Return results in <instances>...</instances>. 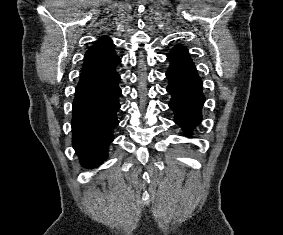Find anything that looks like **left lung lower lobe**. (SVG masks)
Instances as JSON below:
<instances>
[{
  "mask_svg": "<svg viewBox=\"0 0 283 235\" xmlns=\"http://www.w3.org/2000/svg\"><path fill=\"white\" fill-rule=\"evenodd\" d=\"M166 76L169 79L167 91L172 96L169 107L175 112V122L190 131L201 121L205 101L202 80L194 64L186 62L171 61Z\"/></svg>",
  "mask_w": 283,
  "mask_h": 235,
  "instance_id": "left-lung-lower-lobe-1",
  "label": "left lung lower lobe"
}]
</instances>
